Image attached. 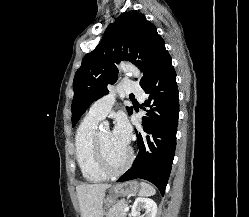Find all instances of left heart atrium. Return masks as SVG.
Segmentation results:
<instances>
[{"mask_svg": "<svg viewBox=\"0 0 249 217\" xmlns=\"http://www.w3.org/2000/svg\"><path fill=\"white\" fill-rule=\"evenodd\" d=\"M115 142L121 147H127L130 137V126L124 117H119L112 131Z\"/></svg>", "mask_w": 249, "mask_h": 217, "instance_id": "1", "label": "left heart atrium"}]
</instances>
